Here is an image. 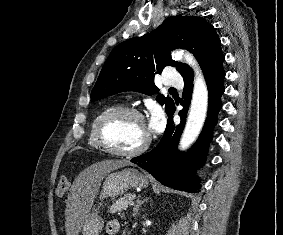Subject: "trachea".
<instances>
[{
	"label": "trachea",
	"mask_w": 283,
	"mask_h": 235,
	"mask_svg": "<svg viewBox=\"0 0 283 235\" xmlns=\"http://www.w3.org/2000/svg\"><path fill=\"white\" fill-rule=\"evenodd\" d=\"M171 90H174V91H176L174 88H171Z\"/></svg>",
	"instance_id": "obj_1"
}]
</instances>
